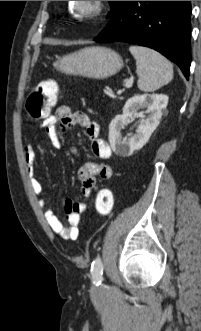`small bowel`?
I'll return each instance as SVG.
<instances>
[{
    "mask_svg": "<svg viewBox=\"0 0 201 331\" xmlns=\"http://www.w3.org/2000/svg\"><path fill=\"white\" fill-rule=\"evenodd\" d=\"M75 125H79L85 129L86 135L91 141L92 152L96 157L102 160L111 158L112 151L109 144L99 137V125L84 112H73L69 106L63 105L58 107L54 114L49 115L42 121V126L55 148H61L62 145L58 127L61 129H69ZM71 151L77 154L75 149ZM24 157L32 189L37 195L38 202L44 211L48 225L52 231L58 234L63 240H76L79 236L80 217L86 208L85 203L71 199L66 200L64 211L67 216L68 224L63 225L53 210L48 206L43 186L36 176L34 168L36 149L32 143H28L24 146ZM112 175L113 170L109 164L104 162L96 163L84 161L78 171V178L81 182V195L88 198L91 195L92 189L95 187L96 178L107 180L110 179Z\"/></svg>",
    "mask_w": 201,
    "mask_h": 331,
    "instance_id": "small-bowel-1",
    "label": "small bowel"
}]
</instances>
